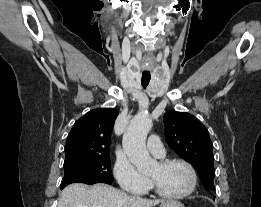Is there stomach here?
Wrapping results in <instances>:
<instances>
[{
	"label": "stomach",
	"mask_w": 261,
	"mask_h": 207,
	"mask_svg": "<svg viewBox=\"0 0 261 207\" xmlns=\"http://www.w3.org/2000/svg\"><path fill=\"white\" fill-rule=\"evenodd\" d=\"M160 207H185L181 202L176 200H166L161 203Z\"/></svg>",
	"instance_id": "obj_1"
}]
</instances>
